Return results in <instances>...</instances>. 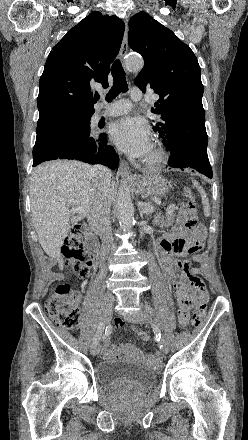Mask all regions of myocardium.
<instances>
[{
	"label": "myocardium",
	"mask_w": 248,
	"mask_h": 440,
	"mask_svg": "<svg viewBox=\"0 0 248 440\" xmlns=\"http://www.w3.org/2000/svg\"><path fill=\"white\" fill-rule=\"evenodd\" d=\"M166 159V151L159 143H155L152 147V153L144 160V165L148 169L159 168Z\"/></svg>",
	"instance_id": "obj_1"
}]
</instances>
